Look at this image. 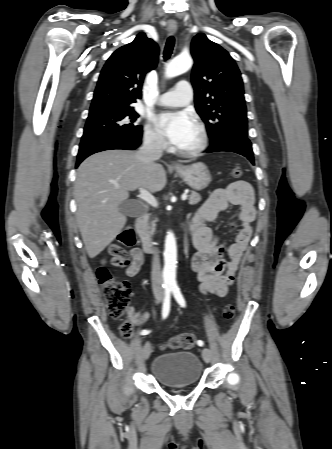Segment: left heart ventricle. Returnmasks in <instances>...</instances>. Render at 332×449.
<instances>
[{
    "mask_svg": "<svg viewBox=\"0 0 332 449\" xmlns=\"http://www.w3.org/2000/svg\"><path fill=\"white\" fill-rule=\"evenodd\" d=\"M197 140H198V133L195 128L194 131L191 133V135L187 138L185 143L180 148H183V149L190 148L196 144Z\"/></svg>",
    "mask_w": 332,
    "mask_h": 449,
    "instance_id": "1",
    "label": "left heart ventricle"
}]
</instances>
